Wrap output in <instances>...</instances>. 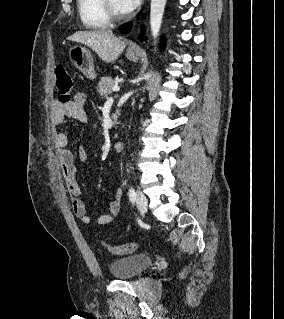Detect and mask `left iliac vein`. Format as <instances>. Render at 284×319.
Segmentation results:
<instances>
[{
  "label": "left iliac vein",
  "instance_id": "left-iliac-vein-1",
  "mask_svg": "<svg viewBox=\"0 0 284 319\" xmlns=\"http://www.w3.org/2000/svg\"><path fill=\"white\" fill-rule=\"evenodd\" d=\"M136 204H137V207H138V209L140 210L141 213H145L147 211V207H148L147 198L140 191H138V193H137Z\"/></svg>",
  "mask_w": 284,
  "mask_h": 319
}]
</instances>
